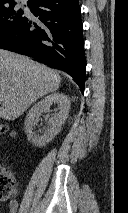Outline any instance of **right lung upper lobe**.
I'll use <instances>...</instances> for the list:
<instances>
[{"label": "right lung upper lobe", "instance_id": "right-lung-upper-lobe-1", "mask_svg": "<svg viewBox=\"0 0 128 213\" xmlns=\"http://www.w3.org/2000/svg\"><path fill=\"white\" fill-rule=\"evenodd\" d=\"M34 0H28L27 4H31ZM15 4L14 0H0V6Z\"/></svg>", "mask_w": 128, "mask_h": 213}]
</instances>
